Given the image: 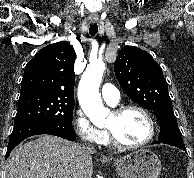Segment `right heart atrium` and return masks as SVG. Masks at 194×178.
Instances as JSON below:
<instances>
[{
	"mask_svg": "<svg viewBox=\"0 0 194 178\" xmlns=\"http://www.w3.org/2000/svg\"><path fill=\"white\" fill-rule=\"evenodd\" d=\"M72 125L79 138L88 144H100L105 132L94 126L87 116L80 110H76L72 117Z\"/></svg>",
	"mask_w": 194,
	"mask_h": 178,
	"instance_id": "d8ad5b80",
	"label": "right heart atrium"
}]
</instances>
